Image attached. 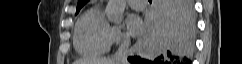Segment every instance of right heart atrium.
I'll return each mask as SVG.
<instances>
[{"label": "right heart atrium", "mask_w": 242, "mask_h": 64, "mask_svg": "<svg viewBox=\"0 0 242 64\" xmlns=\"http://www.w3.org/2000/svg\"><path fill=\"white\" fill-rule=\"evenodd\" d=\"M126 41H127V37L120 26H110V29H109L110 44H121V43H125Z\"/></svg>", "instance_id": "d8ad5b80"}]
</instances>
